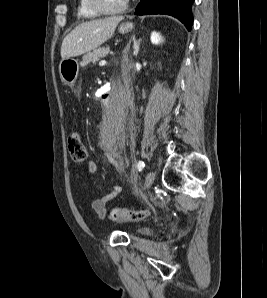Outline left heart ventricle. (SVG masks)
<instances>
[{
  "label": "left heart ventricle",
  "instance_id": "1",
  "mask_svg": "<svg viewBox=\"0 0 267 298\" xmlns=\"http://www.w3.org/2000/svg\"><path fill=\"white\" fill-rule=\"evenodd\" d=\"M125 1L126 0H103L104 5L111 10L121 7Z\"/></svg>",
  "mask_w": 267,
  "mask_h": 298
}]
</instances>
